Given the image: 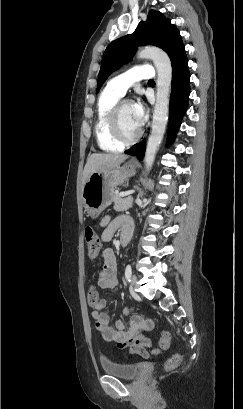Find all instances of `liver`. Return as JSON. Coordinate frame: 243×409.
<instances>
[{"label": "liver", "mask_w": 243, "mask_h": 409, "mask_svg": "<svg viewBox=\"0 0 243 409\" xmlns=\"http://www.w3.org/2000/svg\"><path fill=\"white\" fill-rule=\"evenodd\" d=\"M127 158V155L118 153H94L90 155L84 167L82 184H85L93 172H104L118 167Z\"/></svg>", "instance_id": "1"}]
</instances>
